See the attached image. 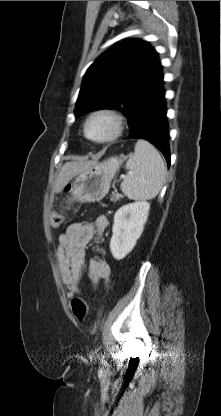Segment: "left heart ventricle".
I'll use <instances>...</instances> for the list:
<instances>
[{
    "mask_svg": "<svg viewBox=\"0 0 221 416\" xmlns=\"http://www.w3.org/2000/svg\"><path fill=\"white\" fill-rule=\"evenodd\" d=\"M111 123L106 118H96L89 125V134L93 137H103L109 133Z\"/></svg>",
    "mask_w": 221,
    "mask_h": 416,
    "instance_id": "1",
    "label": "left heart ventricle"
}]
</instances>
